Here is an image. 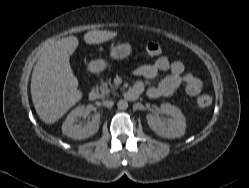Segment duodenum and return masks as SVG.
Listing matches in <instances>:
<instances>
[{
	"instance_id": "410a0bca",
	"label": "duodenum",
	"mask_w": 249,
	"mask_h": 188,
	"mask_svg": "<svg viewBox=\"0 0 249 188\" xmlns=\"http://www.w3.org/2000/svg\"><path fill=\"white\" fill-rule=\"evenodd\" d=\"M140 92L138 89L132 87L126 91V97L130 100H134L139 96ZM99 98V92L96 89H93L89 93V99L91 101H96Z\"/></svg>"
}]
</instances>
